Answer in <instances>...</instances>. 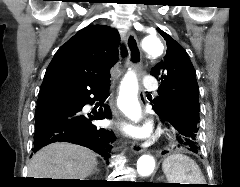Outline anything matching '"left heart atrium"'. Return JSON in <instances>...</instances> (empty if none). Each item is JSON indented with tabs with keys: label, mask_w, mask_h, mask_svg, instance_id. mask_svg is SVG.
<instances>
[{
	"label": "left heart atrium",
	"mask_w": 240,
	"mask_h": 187,
	"mask_svg": "<svg viewBox=\"0 0 240 187\" xmlns=\"http://www.w3.org/2000/svg\"><path fill=\"white\" fill-rule=\"evenodd\" d=\"M129 131L134 134V135H137V136H146L148 134V130L147 129H134V128H131L129 129Z\"/></svg>",
	"instance_id": "39dd6f15"
}]
</instances>
